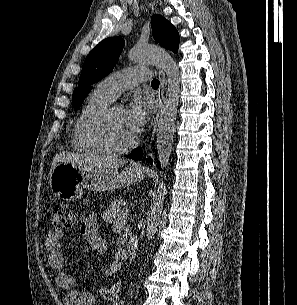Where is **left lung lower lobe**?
<instances>
[{"label":"left lung lower lobe","mask_w":297,"mask_h":305,"mask_svg":"<svg viewBox=\"0 0 297 305\" xmlns=\"http://www.w3.org/2000/svg\"><path fill=\"white\" fill-rule=\"evenodd\" d=\"M142 155H143V152H142L141 148H138L129 155V158L134 159V160H140L142 158ZM149 162L152 163V160L149 159ZM157 167L159 169L161 168L159 162H157Z\"/></svg>","instance_id":"1"}]
</instances>
